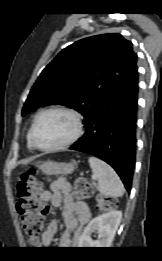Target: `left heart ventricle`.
I'll return each mask as SVG.
<instances>
[{
	"label": "left heart ventricle",
	"mask_w": 162,
	"mask_h": 261,
	"mask_svg": "<svg viewBox=\"0 0 162 261\" xmlns=\"http://www.w3.org/2000/svg\"><path fill=\"white\" fill-rule=\"evenodd\" d=\"M75 130L73 118L64 112H50L43 115L35 130L38 145L50 147L68 139Z\"/></svg>",
	"instance_id": "left-heart-ventricle-1"
}]
</instances>
